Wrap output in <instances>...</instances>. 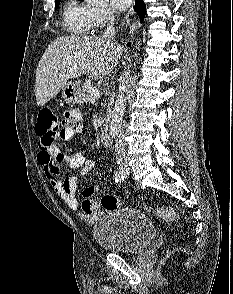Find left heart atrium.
I'll return each mask as SVG.
<instances>
[{"label": "left heart atrium", "instance_id": "39dd6f15", "mask_svg": "<svg viewBox=\"0 0 233 294\" xmlns=\"http://www.w3.org/2000/svg\"><path fill=\"white\" fill-rule=\"evenodd\" d=\"M111 4L119 10H125L130 6L132 0H110Z\"/></svg>", "mask_w": 233, "mask_h": 294}]
</instances>
